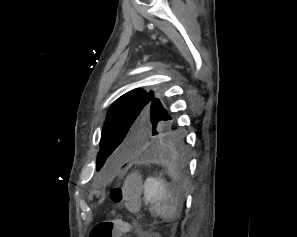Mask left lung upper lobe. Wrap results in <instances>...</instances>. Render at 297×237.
Instances as JSON below:
<instances>
[{
	"label": "left lung upper lobe",
	"mask_w": 297,
	"mask_h": 237,
	"mask_svg": "<svg viewBox=\"0 0 297 237\" xmlns=\"http://www.w3.org/2000/svg\"><path fill=\"white\" fill-rule=\"evenodd\" d=\"M156 96L153 91L137 88L113 103L102 130L97 170L107 157L121 162L148 155L152 142L171 124Z\"/></svg>",
	"instance_id": "left-lung-upper-lobe-1"
}]
</instances>
